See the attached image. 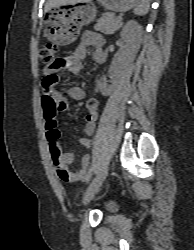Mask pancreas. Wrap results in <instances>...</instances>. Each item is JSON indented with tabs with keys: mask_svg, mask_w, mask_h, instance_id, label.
<instances>
[{
	"mask_svg": "<svg viewBox=\"0 0 194 250\" xmlns=\"http://www.w3.org/2000/svg\"><path fill=\"white\" fill-rule=\"evenodd\" d=\"M122 26L121 21L118 20L113 13H104L94 26L96 31L110 35L119 30Z\"/></svg>",
	"mask_w": 194,
	"mask_h": 250,
	"instance_id": "pancreas-1",
	"label": "pancreas"
}]
</instances>
